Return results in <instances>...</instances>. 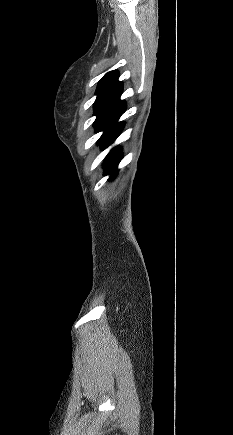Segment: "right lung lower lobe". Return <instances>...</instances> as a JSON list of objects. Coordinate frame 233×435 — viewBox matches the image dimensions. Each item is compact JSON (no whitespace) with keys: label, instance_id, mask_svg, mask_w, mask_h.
<instances>
[{"label":"right lung lower lobe","instance_id":"obj_1","mask_svg":"<svg viewBox=\"0 0 233 435\" xmlns=\"http://www.w3.org/2000/svg\"><path fill=\"white\" fill-rule=\"evenodd\" d=\"M123 123H120L102 142V147L106 148L109 146L113 141L117 138V136L120 134ZM122 159V150L121 148H114L111 150V152L108 154L107 159L105 161V175L110 174V177H114L118 170L117 165L119 164L120 160Z\"/></svg>","mask_w":233,"mask_h":435}]
</instances>
